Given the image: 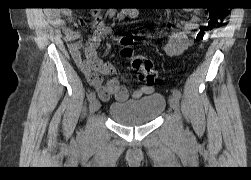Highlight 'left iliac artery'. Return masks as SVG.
<instances>
[{
  "instance_id": "44dca946",
  "label": "left iliac artery",
  "mask_w": 251,
  "mask_h": 180,
  "mask_svg": "<svg viewBox=\"0 0 251 180\" xmlns=\"http://www.w3.org/2000/svg\"><path fill=\"white\" fill-rule=\"evenodd\" d=\"M172 92L173 96H175L177 99L181 98V92L178 89H174Z\"/></svg>"
}]
</instances>
